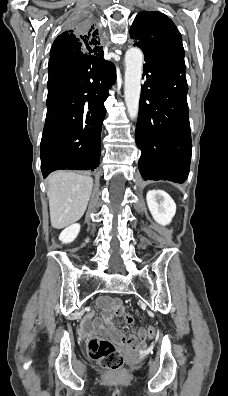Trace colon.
Returning <instances> with one entry per match:
<instances>
[{
    "instance_id": "colon-1",
    "label": "colon",
    "mask_w": 228,
    "mask_h": 396,
    "mask_svg": "<svg viewBox=\"0 0 228 396\" xmlns=\"http://www.w3.org/2000/svg\"><path fill=\"white\" fill-rule=\"evenodd\" d=\"M125 320L129 324L133 323V318L129 314L125 315ZM156 333L157 330L154 326H149L145 329L146 337L153 338ZM88 348L91 357L96 360L100 366L111 371H118L123 366V356L111 341L95 337L89 341Z\"/></svg>"
}]
</instances>
